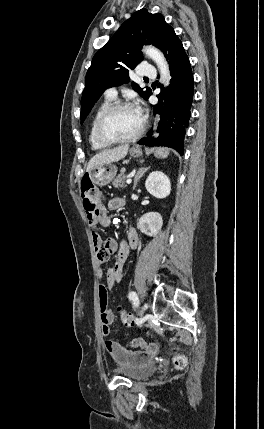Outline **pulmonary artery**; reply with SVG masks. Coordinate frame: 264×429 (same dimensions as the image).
I'll list each match as a JSON object with an SVG mask.
<instances>
[{"instance_id":"pulmonary-artery-1","label":"pulmonary artery","mask_w":264,"mask_h":429,"mask_svg":"<svg viewBox=\"0 0 264 429\" xmlns=\"http://www.w3.org/2000/svg\"><path fill=\"white\" fill-rule=\"evenodd\" d=\"M140 75L146 78H154L156 76V69L148 64L144 63L141 65ZM106 97L114 99L117 96V90L114 87H111L106 90Z\"/></svg>"}]
</instances>
